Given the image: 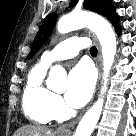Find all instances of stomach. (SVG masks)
Masks as SVG:
<instances>
[{
    "mask_svg": "<svg viewBox=\"0 0 136 136\" xmlns=\"http://www.w3.org/2000/svg\"><path fill=\"white\" fill-rule=\"evenodd\" d=\"M58 136H69L68 134H59Z\"/></svg>",
    "mask_w": 136,
    "mask_h": 136,
    "instance_id": "0dacf381",
    "label": "stomach"
}]
</instances>
